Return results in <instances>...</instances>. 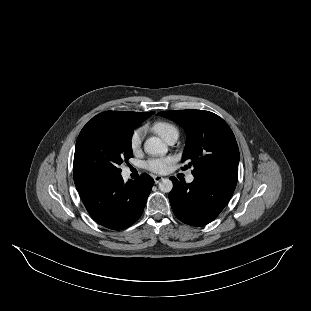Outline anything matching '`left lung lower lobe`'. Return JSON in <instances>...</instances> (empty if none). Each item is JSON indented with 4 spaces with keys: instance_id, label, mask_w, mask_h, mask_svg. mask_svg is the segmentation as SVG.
<instances>
[{
    "instance_id": "0a47b994",
    "label": "left lung lower lobe",
    "mask_w": 311,
    "mask_h": 311,
    "mask_svg": "<svg viewBox=\"0 0 311 311\" xmlns=\"http://www.w3.org/2000/svg\"><path fill=\"white\" fill-rule=\"evenodd\" d=\"M238 174L212 173L194 176L192 183L175 177L169 201L176 217L191 226H204L213 221L229 202Z\"/></svg>"
}]
</instances>
